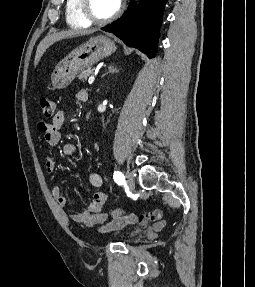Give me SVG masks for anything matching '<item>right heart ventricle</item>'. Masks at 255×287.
<instances>
[{
	"instance_id": "1",
	"label": "right heart ventricle",
	"mask_w": 255,
	"mask_h": 287,
	"mask_svg": "<svg viewBox=\"0 0 255 287\" xmlns=\"http://www.w3.org/2000/svg\"><path fill=\"white\" fill-rule=\"evenodd\" d=\"M84 39H91V38H84ZM88 48H90V47H88Z\"/></svg>"
}]
</instances>
